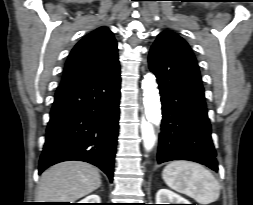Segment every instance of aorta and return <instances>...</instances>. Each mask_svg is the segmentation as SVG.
Here are the masks:
<instances>
[{
	"label": "aorta",
	"mask_w": 253,
	"mask_h": 205,
	"mask_svg": "<svg viewBox=\"0 0 253 205\" xmlns=\"http://www.w3.org/2000/svg\"><path fill=\"white\" fill-rule=\"evenodd\" d=\"M143 105L145 119L141 122L143 145L150 151L154 145L153 125L161 122V102L156 78L152 73H147L142 81Z\"/></svg>",
	"instance_id": "aorta-1"
}]
</instances>
